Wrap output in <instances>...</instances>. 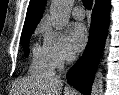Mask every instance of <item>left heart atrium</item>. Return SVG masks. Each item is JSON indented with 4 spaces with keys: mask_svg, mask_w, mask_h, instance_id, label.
<instances>
[{
    "mask_svg": "<svg viewBox=\"0 0 119 95\" xmlns=\"http://www.w3.org/2000/svg\"><path fill=\"white\" fill-rule=\"evenodd\" d=\"M88 31L82 23H74L69 30V43L73 51H81L87 44Z\"/></svg>",
    "mask_w": 119,
    "mask_h": 95,
    "instance_id": "obj_1",
    "label": "left heart atrium"
}]
</instances>
